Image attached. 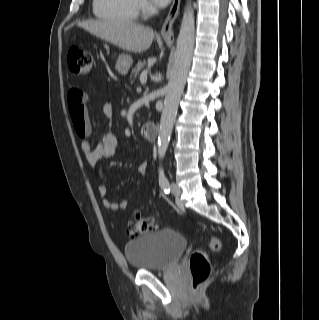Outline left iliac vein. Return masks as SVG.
<instances>
[{
  "mask_svg": "<svg viewBox=\"0 0 319 320\" xmlns=\"http://www.w3.org/2000/svg\"><path fill=\"white\" fill-rule=\"evenodd\" d=\"M171 192L174 196H179L181 193L180 187L176 183H172L171 186Z\"/></svg>",
  "mask_w": 319,
  "mask_h": 320,
  "instance_id": "left-iliac-vein-1",
  "label": "left iliac vein"
}]
</instances>
